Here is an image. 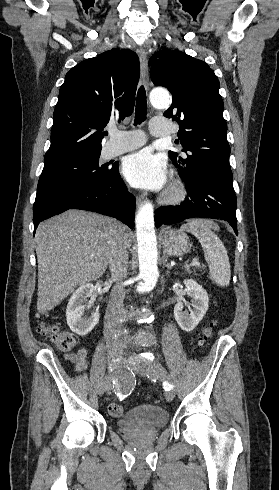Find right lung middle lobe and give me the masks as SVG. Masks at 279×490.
<instances>
[{"label":"right lung middle lobe","mask_w":279,"mask_h":490,"mask_svg":"<svg viewBox=\"0 0 279 490\" xmlns=\"http://www.w3.org/2000/svg\"><path fill=\"white\" fill-rule=\"evenodd\" d=\"M100 154L84 155L45 163L40 176V189L49 185H67L107 179L118 168L117 164H99Z\"/></svg>","instance_id":"dd1d6c3e"}]
</instances>
